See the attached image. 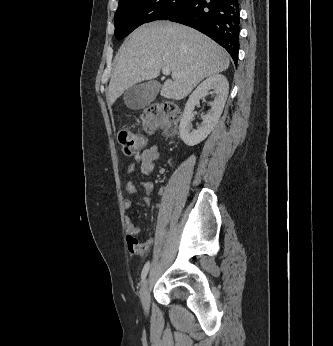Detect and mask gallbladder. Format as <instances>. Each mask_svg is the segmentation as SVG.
<instances>
[{
	"mask_svg": "<svg viewBox=\"0 0 333 346\" xmlns=\"http://www.w3.org/2000/svg\"><path fill=\"white\" fill-rule=\"evenodd\" d=\"M160 90V83L148 81L136 84L124 92V103L132 110H140L148 106Z\"/></svg>",
	"mask_w": 333,
	"mask_h": 346,
	"instance_id": "obj_1",
	"label": "gallbladder"
}]
</instances>
